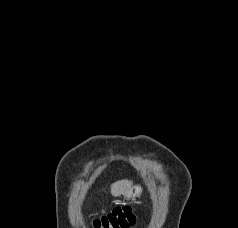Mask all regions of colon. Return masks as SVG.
<instances>
[{
  "label": "colon",
  "instance_id": "colon-1",
  "mask_svg": "<svg viewBox=\"0 0 238 228\" xmlns=\"http://www.w3.org/2000/svg\"><path fill=\"white\" fill-rule=\"evenodd\" d=\"M137 218L130 206H117L95 218L92 228H133Z\"/></svg>",
  "mask_w": 238,
  "mask_h": 228
}]
</instances>
